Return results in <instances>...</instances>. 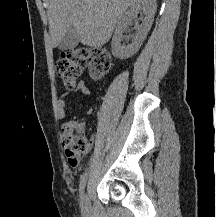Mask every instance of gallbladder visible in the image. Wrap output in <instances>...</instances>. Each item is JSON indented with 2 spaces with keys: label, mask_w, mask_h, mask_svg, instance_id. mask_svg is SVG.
I'll list each match as a JSON object with an SVG mask.
<instances>
[{
  "label": "gallbladder",
  "mask_w": 216,
  "mask_h": 217,
  "mask_svg": "<svg viewBox=\"0 0 216 217\" xmlns=\"http://www.w3.org/2000/svg\"><path fill=\"white\" fill-rule=\"evenodd\" d=\"M78 43L79 37L77 31L73 26H70L58 47L60 50L73 49L78 45Z\"/></svg>",
  "instance_id": "gallbladder-1"
}]
</instances>
